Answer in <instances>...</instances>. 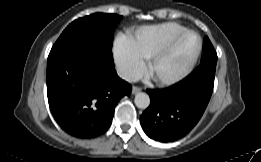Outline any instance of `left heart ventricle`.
Wrapping results in <instances>:
<instances>
[{
  "mask_svg": "<svg viewBox=\"0 0 261 162\" xmlns=\"http://www.w3.org/2000/svg\"><path fill=\"white\" fill-rule=\"evenodd\" d=\"M198 46V38L195 34H186L154 67L156 76H171L179 72L191 59Z\"/></svg>",
  "mask_w": 261,
  "mask_h": 162,
  "instance_id": "1",
  "label": "left heart ventricle"
}]
</instances>
